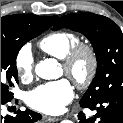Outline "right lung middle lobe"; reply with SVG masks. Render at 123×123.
Returning a JSON list of instances; mask_svg holds the SVG:
<instances>
[{
  "label": "right lung middle lobe",
  "instance_id": "dd1d6c3e",
  "mask_svg": "<svg viewBox=\"0 0 123 123\" xmlns=\"http://www.w3.org/2000/svg\"><path fill=\"white\" fill-rule=\"evenodd\" d=\"M48 26L39 24H19L11 29H1V100H10V88L18 83L16 57L21 47L37 37Z\"/></svg>",
  "mask_w": 123,
  "mask_h": 123
}]
</instances>
